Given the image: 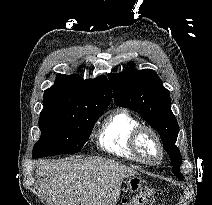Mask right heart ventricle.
<instances>
[{
    "instance_id": "e07e8e85",
    "label": "right heart ventricle",
    "mask_w": 212,
    "mask_h": 205,
    "mask_svg": "<svg viewBox=\"0 0 212 205\" xmlns=\"http://www.w3.org/2000/svg\"><path fill=\"white\" fill-rule=\"evenodd\" d=\"M139 127L137 119L126 110H115L99 126L97 145L118 157L140 160L131 147V136Z\"/></svg>"
}]
</instances>
